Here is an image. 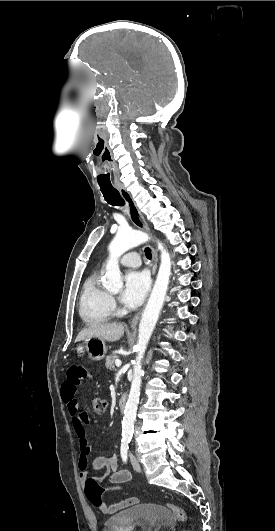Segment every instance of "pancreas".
I'll list each match as a JSON object with an SVG mask.
<instances>
[{
    "label": "pancreas",
    "mask_w": 275,
    "mask_h": 531,
    "mask_svg": "<svg viewBox=\"0 0 275 531\" xmlns=\"http://www.w3.org/2000/svg\"><path fill=\"white\" fill-rule=\"evenodd\" d=\"M116 359H118L116 353H111V355H108V357H106L105 363L106 369H110V371H113Z\"/></svg>",
    "instance_id": "obj_1"
}]
</instances>
